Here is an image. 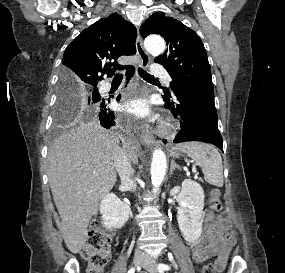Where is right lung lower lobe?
I'll return each instance as SVG.
<instances>
[{
	"label": "right lung lower lobe",
	"instance_id": "1",
	"mask_svg": "<svg viewBox=\"0 0 285 273\" xmlns=\"http://www.w3.org/2000/svg\"><path fill=\"white\" fill-rule=\"evenodd\" d=\"M134 74V68L129 66L127 67V73L128 79H130L131 76ZM117 99H120V96L117 97ZM110 103V98L108 99H102L99 104V113L98 118L100 120V124L105 128H110L111 126L115 125V117L114 113L109 109L108 104Z\"/></svg>",
	"mask_w": 285,
	"mask_h": 273
}]
</instances>
